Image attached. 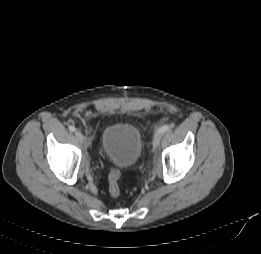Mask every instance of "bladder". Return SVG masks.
Here are the masks:
<instances>
[{
  "mask_svg": "<svg viewBox=\"0 0 261 254\" xmlns=\"http://www.w3.org/2000/svg\"><path fill=\"white\" fill-rule=\"evenodd\" d=\"M101 150L112 163L130 167L142 152L140 132L134 125L127 123L110 125L103 132Z\"/></svg>",
  "mask_w": 261,
  "mask_h": 254,
  "instance_id": "bladder-1",
  "label": "bladder"
}]
</instances>
